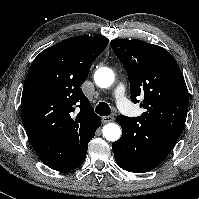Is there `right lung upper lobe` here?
<instances>
[{
	"label": "right lung upper lobe",
	"mask_w": 199,
	"mask_h": 199,
	"mask_svg": "<svg viewBox=\"0 0 199 199\" xmlns=\"http://www.w3.org/2000/svg\"><path fill=\"white\" fill-rule=\"evenodd\" d=\"M108 42L106 38L76 36L45 49L34 59L23 87L21 117L35 151L62 157L66 142L99 122L101 118L80 87Z\"/></svg>",
	"instance_id": "obj_1"
}]
</instances>
